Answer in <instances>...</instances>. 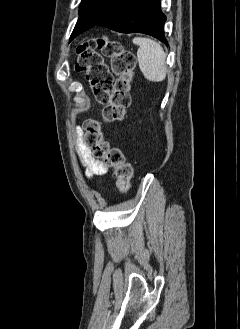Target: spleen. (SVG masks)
Masks as SVG:
<instances>
[{
	"label": "spleen",
	"instance_id": "obj_1",
	"mask_svg": "<svg viewBox=\"0 0 240 329\" xmlns=\"http://www.w3.org/2000/svg\"><path fill=\"white\" fill-rule=\"evenodd\" d=\"M138 46L137 59L144 77L151 82H161L166 78V54L160 44L149 38L135 37Z\"/></svg>",
	"mask_w": 240,
	"mask_h": 329
}]
</instances>
